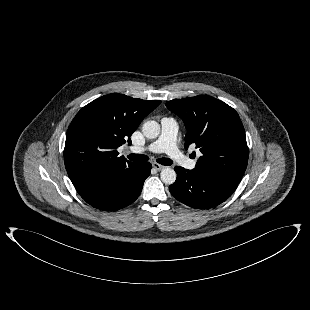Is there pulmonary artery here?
<instances>
[{
	"label": "pulmonary artery",
	"mask_w": 310,
	"mask_h": 310,
	"mask_svg": "<svg viewBox=\"0 0 310 310\" xmlns=\"http://www.w3.org/2000/svg\"><path fill=\"white\" fill-rule=\"evenodd\" d=\"M178 123L174 118L164 117L161 120V133L159 137L146 147L131 148L134 153L150 151L153 153H166L170 158L187 169H194L196 161L188 158L177 147Z\"/></svg>",
	"instance_id": "obj_1"
}]
</instances>
